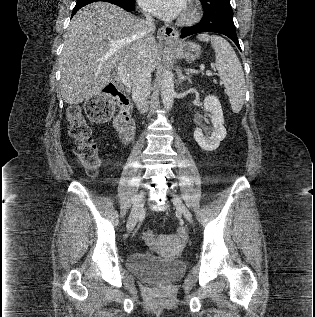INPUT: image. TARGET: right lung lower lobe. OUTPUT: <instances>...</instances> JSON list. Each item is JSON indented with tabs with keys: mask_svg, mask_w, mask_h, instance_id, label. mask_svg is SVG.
I'll list each match as a JSON object with an SVG mask.
<instances>
[{
	"mask_svg": "<svg viewBox=\"0 0 315 317\" xmlns=\"http://www.w3.org/2000/svg\"><path fill=\"white\" fill-rule=\"evenodd\" d=\"M96 1H104V2L115 4L127 10L128 12H131L132 10H134V4H135V0H78L76 3V6L73 9L72 16L83 6L90 4L92 2H96Z\"/></svg>",
	"mask_w": 315,
	"mask_h": 317,
	"instance_id": "98d812e1",
	"label": "right lung lower lobe"
}]
</instances>
